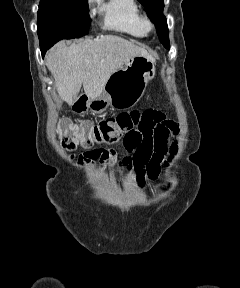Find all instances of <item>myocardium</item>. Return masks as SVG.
Instances as JSON below:
<instances>
[{"mask_svg": "<svg viewBox=\"0 0 240 288\" xmlns=\"http://www.w3.org/2000/svg\"><path fill=\"white\" fill-rule=\"evenodd\" d=\"M140 26L145 34L151 33L155 28L154 22L148 16H141Z\"/></svg>", "mask_w": 240, "mask_h": 288, "instance_id": "f54148a6", "label": "myocardium"}]
</instances>
